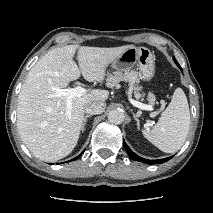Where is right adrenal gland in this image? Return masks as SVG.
I'll return each instance as SVG.
<instances>
[{"instance_id": "1", "label": "right adrenal gland", "mask_w": 213, "mask_h": 213, "mask_svg": "<svg viewBox=\"0 0 213 213\" xmlns=\"http://www.w3.org/2000/svg\"><path fill=\"white\" fill-rule=\"evenodd\" d=\"M90 117H91V115H86L84 117L82 129H81L82 131L85 129L86 122H87L88 118H90Z\"/></svg>"}]
</instances>
